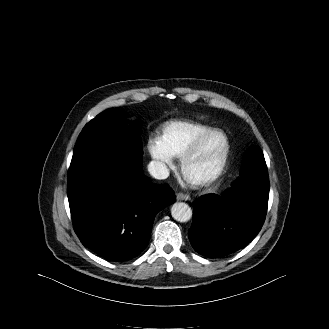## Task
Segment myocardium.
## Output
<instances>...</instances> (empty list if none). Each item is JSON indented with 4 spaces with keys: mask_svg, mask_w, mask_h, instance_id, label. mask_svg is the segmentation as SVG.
Returning a JSON list of instances; mask_svg holds the SVG:
<instances>
[{
    "mask_svg": "<svg viewBox=\"0 0 329 329\" xmlns=\"http://www.w3.org/2000/svg\"><path fill=\"white\" fill-rule=\"evenodd\" d=\"M214 134H221L225 140V147L222 154V158L218 167L208 176L201 179H194L188 176L187 174V166L189 162L198 154L204 142ZM231 154V142L225 131L218 128H212L209 131L200 135L191 146L183 153L180 157V171L183 177L189 182L191 185L196 187H205L212 183H214L225 171L229 158Z\"/></svg>",
    "mask_w": 329,
    "mask_h": 329,
    "instance_id": "f54148a6",
    "label": "myocardium"
}]
</instances>
